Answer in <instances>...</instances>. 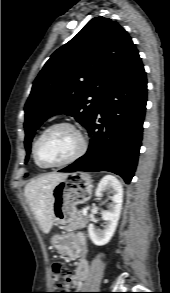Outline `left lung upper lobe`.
Wrapping results in <instances>:
<instances>
[{
  "label": "left lung upper lobe",
  "instance_id": "1",
  "mask_svg": "<svg viewBox=\"0 0 170 293\" xmlns=\"http://www.w3.org/2000/svg\"><path fill=\"white\" fill-rule=\"evenodd\" d=\"M134 47L117 22L95 17L56 50L35 79L25 105L27 154L36 129L53 115L73 116L87 128L111 78Z\"/></svg>",
  "mask_w": 170,
  "mask_h": 293
}]
</instances>
